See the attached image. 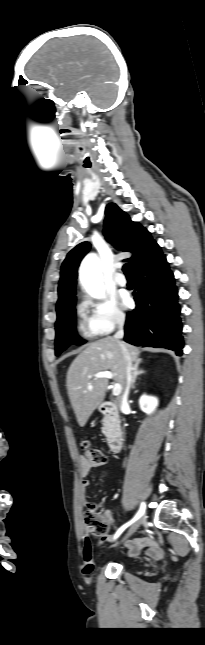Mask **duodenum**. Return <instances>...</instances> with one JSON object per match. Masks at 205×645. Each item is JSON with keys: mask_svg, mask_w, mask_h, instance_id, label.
<instances>
[{"mask_svg": "<svg viewBox=\"0 0 205 645\" xmlns=\"http://www.w3.org/2000/svg\"><path fill=\"white\" fill-rule=\"evenodd\" d=\"M101 412L108 420L109 430L107 434V445L112 453H118L123 445V435L120 428L119 414L117 407L110 402H104L100 406Z\"/></svg>", "mask_w": 205, "mask_h": 645, "instance_id": "obj_1", "label": "duodenum"}]
</instances>
